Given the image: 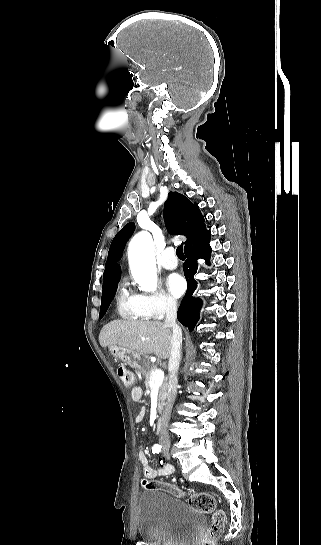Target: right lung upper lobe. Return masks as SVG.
<instances>
[{
	"mask_svg": "<svg viewBox=\"0 0 321 545\" xmlns=\"http://www.w3.org/2000/svg\"><path fill=\"white\" fill-rule=\"evenodd\" d=\"M163 214L168 232L185 235L187 237L185 244L205 227L204 218L198 207L178 192L169 193ZM134 228V223H128L114 237L105 265L103 290L118 284L120 266L117 262Z\"/></svg>",
	"mask_w": 321,
	"mask_h": 545,
	"instance_id": "cb5924a9",
	"label": "right lung upper lobe"
}]
</instances>
